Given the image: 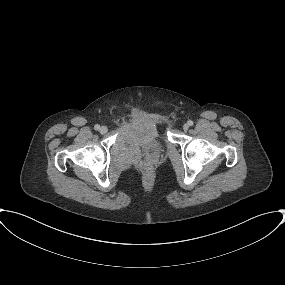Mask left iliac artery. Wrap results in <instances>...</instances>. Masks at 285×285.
Wrapping results in <instances>:
<instances>
[{"instance_id": "obj_1", "label": "left iliac artery", "mask_w": 285, "mask_h": 285, "mask_svg": "<svg viewBox=\"0 0 285 285\" xmlns=\"http://www.w3.org/2000/svg\"><path fill=\"white\" fill-rule=\"evenodd\" d=\"M187 123H188L189 126L193 125V121H191V120H189Z\"/></svg>"}]
</instances>
